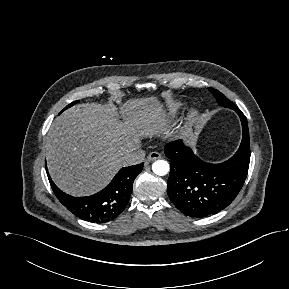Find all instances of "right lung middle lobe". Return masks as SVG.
I'll return each mask as SVG.
<instances>
[{"label":"right lung middle lobe","instance_id":"obj_1","mask_svg":"<svg viewBox=\"0 0 289 289\" xmlns=\"http://www.w3.org/2000/svg\"><path fill=\"white\" fill-rule=\"evenodd\" d=\"M78 101H74V102H72L71 104H69L68 106H66L64 109H63V111L65 110V109H67V108H69V107H71V106H73L75 103H77Z\"/></svg>","mask_w":289,"mask_h":289}]
</instances>
